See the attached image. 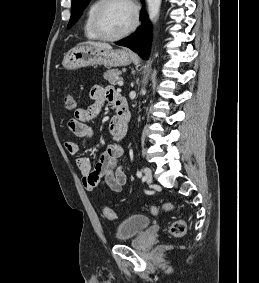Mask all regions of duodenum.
<instances>
[{
  "label": "duodenum",
  "mask_w": 259,
  "mask_h": 283,
  "mask_svg": "<svg viewBox=\"0 0 259 283\" xmlns=\"http://www.w3.org/2000/svg\"><path fill=\"white\" fill-rule=\"evenodd\" d=\"M116 116L115 123L120 128H126L129 122V110L126 101L123 97L119 96L115 103Z\"/></svg>",
  "instance_id": "410a0bca"
}]
</instances>
